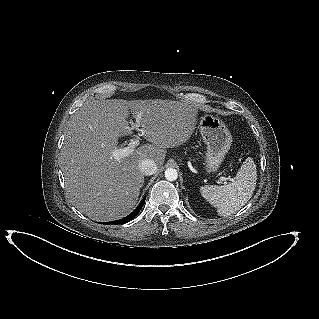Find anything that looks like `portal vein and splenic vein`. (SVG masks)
<instances>
[{"mask_svg":"<svg viewBox=\"0 0 319 319\" xmlns=\"http://www.w3.org/2000/svg\"><path fill=\"white\" fill-rule=\"evenodd\" d=\"M140 118H141V114H139L136 118V124H134L135 127H138L137 124L138 122L140 121ZM141 136V134L138 133V135L136 136L135 139L131 140L128 145L124 148H118V149H115L113 152H112V156L114 159H116L117 161L121 160L122 158L124 157H127L129 155H131L134 151H135V148L136 146L139 145V137ZM220 181H224L226 183L227 180L233 182L234 179L233 178H230V177H220L219 178Z\"/></svg>","mask_w":319,"mask_h":319,"instance_id":"18ae733b","label":"portal vein and splenic vein"}]
</instances>
